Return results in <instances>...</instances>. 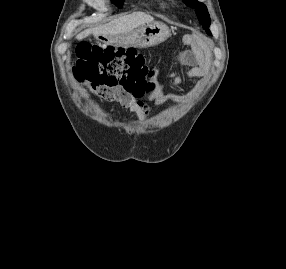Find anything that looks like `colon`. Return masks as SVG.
<instances>
[{
  "instance_id": "1",
  "label": "colon",
  "mask_w": 286,
  "mask_h": 269,
  "mask_svg": "<svg viewBox=\"0 0 286 269\" xmlns=\"http://www.w3.org/2000/svg\"><path fill=\"white\" fill-rule=\"evenodd\" d=\"M75 73L100 88L109 97L115 88L134 95L151 88L148 79L153 71L134 48H115L97 43L81 42L77 46Z\"/></svg>"
}]
</instances>
